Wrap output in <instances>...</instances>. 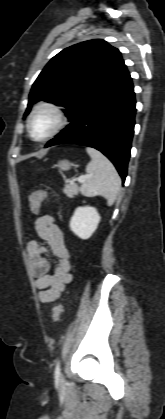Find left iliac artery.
Wrapping results in <instances>:
<instances>
[{
  "label": "left iliac artery",
  "instance_id": "1",
  "mask_svg": "<svg viewBox=\"0 0 165 419\" xmlns=\"http://www.w3.org/2000/svg\"><path fill=\"white\" fill-rule=\"evenodd\" d=\"M55 376L59 377L60 376V362L59 360L56 363V367H55Z\"/></svg>",
  "mask_w": 165,
  "mask_h": 419
}]
</instances>
